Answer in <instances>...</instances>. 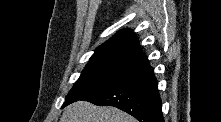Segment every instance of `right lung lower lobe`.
Returning <instances> with one entry per match:
<instances>
[{
    "label": "right lung lower lobe",
    "mask_w": 221,
    "mask_h": 122,
    "mask_svg": "<svg viewBox=\"0 0 221 122\" xmlns=\"http://www.w3.org/2000/svg\"><path fill=\"white\" fill-rule=\"evenodd\" d=\"M157 85L153 68L144 58L123 79L83 100L117 107L140 122H164Z\"/></svg>",
    "instance_id": "1"
}]
</instances>
